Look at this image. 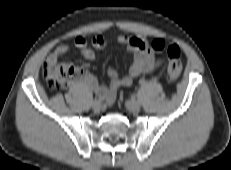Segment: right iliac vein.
Here are the masks:
<instances>
[{
    "label": "right iliac vein",
    "instance_id": "obj_1",
    "mask_svg": "<svg viewBox=\"0 0 231 170\" xmlns=\"http://www.w3.org/2000/svg\"><path fill=\"white\" fill-rule=\"evenodd\" d=\"M101 107H102V101L101 100L95 99L92 102V108H93V110L98 111V110H100Z\"/></svg>",
    "mask_w": 231,
    "mask_h": 170
}]
</instances>
